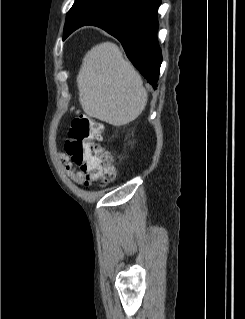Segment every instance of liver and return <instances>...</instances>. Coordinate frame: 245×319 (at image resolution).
I'll use <instances>...</instances> for the list:
<instances>
[{
  "label": "liver",
  "mask_w": 245,
  "mask_h": 319,
  "mask_svg": "<svg viewBox=\"0 0 245 319\" xmlns=\"http://www.w3.org/2000/svg\"><path fill=\"white\" fill-rule=\"evenodd\" d=\"M77 86L84 112L113 126L135 120L148 101L140 74L112 42L97 44L85 54Z\"/></svg>",
  "instance_id": "1"
}]
</instances>
